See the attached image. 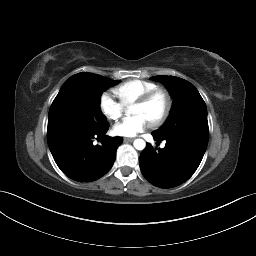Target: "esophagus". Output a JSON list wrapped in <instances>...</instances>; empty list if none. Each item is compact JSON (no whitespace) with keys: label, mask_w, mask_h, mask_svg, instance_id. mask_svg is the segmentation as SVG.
I'll return each instance as SVG.
<instances>
[{"label":"esophagus","mask_w":256,"mask_h":256,"mask_svg":"<svg viewBox=\"0 0 256 256\" xmlns=\"http://www.w3.org/2000/svg\"><path fill=\"white\" fill-rule=\"evenodd\" d=\"M134 138H124V142H132Z\"/></svg>","instance_id":"esophagus-1"}]
</instances>
